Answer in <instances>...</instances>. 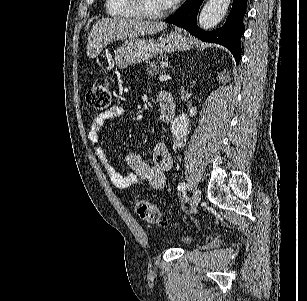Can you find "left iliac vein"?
Wrapping results in <instances>:
<instances>
[{"instance_id": "obj_1", "label": "left iliac vein", "mask_w": 307, "mask_h": 301, "mask_svg": "<svg viewBox=\"0 0 307 301\" xmlns=\"http://www.w3.org/2000/svg\"><path fill=\"white\" fill-rule=\"evenodd\" d=\"M201 200L200 190L198 188L194 189V192L191 196V203H190V210L194 211L195 208L198 206Z\"/></svg>"}]
</instances>
